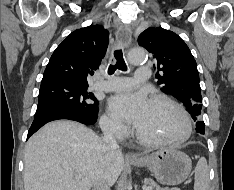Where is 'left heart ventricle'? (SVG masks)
Instances as JSON below:
<instances>
[{
  "instance_id": "b2bd125f",
  "label": "left heart ventricle",
  "mask_w": 234,
  "mask_h": 190,
  "mask_svg": "<svg viewBox=\"0 0 234 190\" xmlns=\"http://www.w3.org/2000/svg\"><path fill=\"white\" fill-rule=\"evenodd\" d=\"M137 129L148 138L171 139L182 134L184 124L179 113L169 104L150 102L148 111Z\"/></svg>"
}]
</instances>
